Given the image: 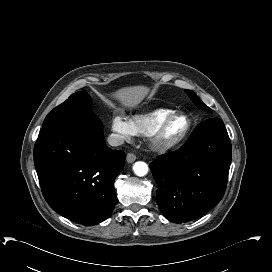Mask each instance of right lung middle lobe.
Wrapping results in <instances>:
<instances>
[{
	"label": "right lung middle lobe",
	"instance_id": "obj_1",
	"mask_svg": "<svg viewBox=\"0 0 272 272\" xmlns=\"http://www.w3.org/2000/svg\"><path fill=\"white\" fill-rule=\"evenodd\" d=\"M89 102V95L85 91L72 94L65 102L54 108L46 116L43 127L55 120L71 117L79 112L87 111Z\"/></svg>",
	"mask_w": 272,
	"mask_h": 272
}]
</instances>
